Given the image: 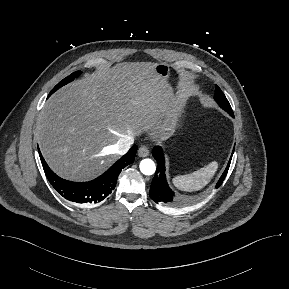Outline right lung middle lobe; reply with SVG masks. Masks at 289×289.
<instances>
[{
	"instance_id": "right-lung-middle-lobe-1",
	"label": "right lung middle lobe",
	"mask_w": 289,
	"mask_h": 289,
	"mask_svg": "<svg viewBox=\"0 0 289 289\" xmlns=\"http://www.w3.org/2000/svg\"><path fill=\"white\" fill-rule=\"evenodd\" d=\"M81 74L80 71H76L74 73H72L71 75H69L68 77H66L65 79H63L61 82H59L50 92L49 96L54 93L56 90H58L60 87L66 85L67 83L73 81L76 77H78Z\"/></svg>"
}]
</instances>
